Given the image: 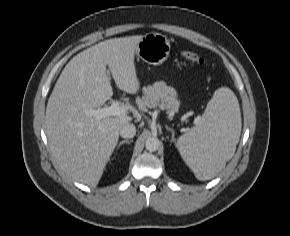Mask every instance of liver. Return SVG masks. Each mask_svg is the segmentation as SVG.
Segmentation results:
<instances>
[{"mask_svg":"<svg viewBox=\"0 0 290 236\" xmlns=\"http://www.w3.org/2000/svg\"><path fill=\"white\" fill-rule=\"evenodd\" d=\"M143 36L108 39L74 56L61 72L48 99L46 134L62 172L96 187L119 139L127 114L97 120L87 114L113 95L109 67L116 86L129 94L139 91L134 56Z\"/></svg>","mask_w":290,"mask_h":236,"instance_id":"1","label":"liver"}]
</instances>
